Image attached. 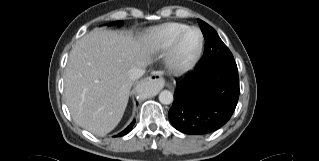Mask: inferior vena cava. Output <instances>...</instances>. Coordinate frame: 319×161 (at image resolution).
<instances>
[{
    "instance_id": "1",
    "label": "inferior vena cava",
    "mask_w": 319,
    "mask_h": 161,
    "mask_svg": "<svg viewBox=\"0 0 319 161\" xmlns=\"http://www.w3.org/2000/svg\"><path fill=\"white\" fill-rule=\"evenodd\" d=\"M145 73L144 68L134 67L129 70V77L131 80H136L140 78Z\"/></svg>"
}]
</instances>
